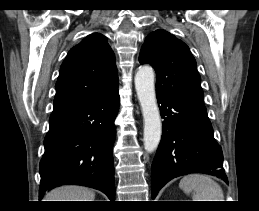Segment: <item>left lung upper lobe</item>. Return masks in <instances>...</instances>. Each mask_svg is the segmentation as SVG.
Instances as JSON below:
<instances>
[{"mask_svg":"<svg viewBox=\"0 0 259 211\" xmlns=\"http://www.w3.org/2000/svg\"><path fill=\"white\" fill-rule=\"evenodd\" d=\"M139 61L155 69L156 91L204 102L196 61L188 46L169 32H151L142 46Z\"/></svg>","mask_w":259,"mask_h":211,"instance_id":"obj_1","label":"left lung upper lobe"}]
</instances>
